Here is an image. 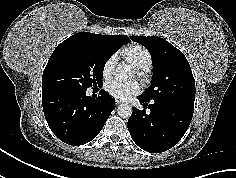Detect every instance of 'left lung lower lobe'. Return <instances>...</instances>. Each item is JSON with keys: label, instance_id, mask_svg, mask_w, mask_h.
Returning <instances> with one entry per match:
<instances>
[{"label": "left lung lower lobe", "instance_id": "0a47b994", "mask_svg": "<svg viewBox=\"0 0 236 178\" xmlns=\"http://www.w3.org/2000/svg\"><path fill=\"white\" fill-rule=\"evenodd\" d=\"M138 99L143 104L144 110L133 108L127 124L133 141L150 153H160L172 148L188 129L194 106L150 102L140 96ZM147 106L150 109L149 114L145 111Z\"/></svg>", "mask_w": 236, "mask_h": 178}]
</instances>
